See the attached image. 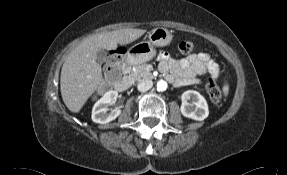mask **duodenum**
Instances as JSON below:
<instances>
[{"label":"duodenum","mask_w":287,"mask_h":175,"mask_svg":"<svg viewBox=\"0 0 287 175\" xmlns=\"http://www.w3.org/2000/svg\"><path fill=\"white\" fill-rule=\"evenodd\" d=\"M129 64L130 62L127 61L122 65V70L124 72L128 70ZM110 77H111V72L106 74L107 79H109ZM130 84H131V79L129 78V76L125 75L122 79L117 80V82L115 83V86L118 91L124 92L129 88Z\"/></svg>","instance_id":"410a0bca"}]
</instances>
